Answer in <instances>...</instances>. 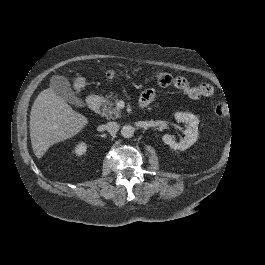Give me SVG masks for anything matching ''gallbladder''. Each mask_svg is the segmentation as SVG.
Listing matches in <instances>:
<instances>
[{"label":"gallbladder","instance_id":"bac80fb5","mask_svg":"<svg viewBox=\"0 0 265 265\" xmlns=\"http://www.w3.org/2000/svg\"><path fill=\"white\" fill-rule=\"evenodd\" d=\"M50 87L55 94L76 107H84L85 103L79 99L70 87L68 79L64 76L54 75L50 79Z\"/></svg>","mask_w":265,"mask_h":265}]
</instances>
